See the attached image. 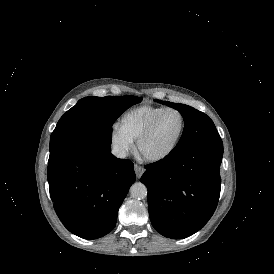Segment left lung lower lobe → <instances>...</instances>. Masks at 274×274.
I'll list each match as a JSON object with an SVG mask.
<instances>
[{"label":"left lung lower lobe","instance_id":"1","mask_svg":"<svg viewBox=\"0 0 274 274\" xmlns=\"http://www.w3.org/2000/svg\"><path fill=\"white\" fill-rule=\"evenodd\" d=\"M222 156V140H213L145 166L141 182L148 189L150 220L160 234L182 239L208 222L219 199Z\"/></svg>","mask_w":274,"mask_h":274}]
</instances>
